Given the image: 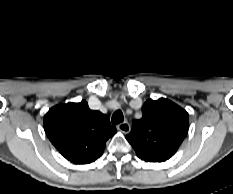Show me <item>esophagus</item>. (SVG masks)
<instances>
[{"instance_id":"34e87169","label":"esophagus","mask_w":233,"mask_h":194,"mask_svg":"<svg viewBox=\"0 0 233 194\" xmlns=\"http://www.w3.org/2000/svg\"><path fill=\"white\" fill-rule=\"evenodd\" d=\"M117 128H118V130H120L124 134H128L131 131V126L127 121L120 123L117 126Z\"/></svg>"}]
</instances>
